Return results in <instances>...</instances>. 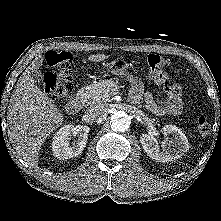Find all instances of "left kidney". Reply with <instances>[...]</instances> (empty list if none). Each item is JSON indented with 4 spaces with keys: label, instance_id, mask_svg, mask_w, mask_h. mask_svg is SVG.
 Masks as SVG:
<instances>
[{
    "label": "left kidney",
    "instance_id": "obj_1",
    "mask_svg": "<svg viewBox=\"0 0 221 221\" xmlns=\"http://www.w3.org/2000/svg\"><path fill=\"white\" fill-rule=\"evenodd\" d=\"M162 131L166 134H171L172 137H167L162 142V151L157 140L148 134H143L140 137V143L147 155L157 162H170L180 158L189 150V142L185 134L175 125H165Z\"/></svg>",
    "mask_w": 221,
    "mask_h": 221
}]
</instances>
